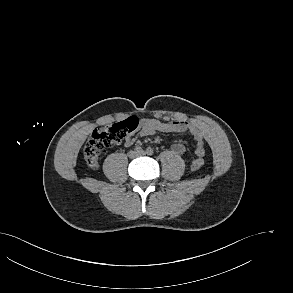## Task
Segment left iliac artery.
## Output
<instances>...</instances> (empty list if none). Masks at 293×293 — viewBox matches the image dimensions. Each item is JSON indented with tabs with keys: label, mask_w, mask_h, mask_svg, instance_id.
Wrapping results in <instances>:
<instances>
[{
	"label": "left iliac artery",
	"mask_w": 293,
	"mask_h": 293,
	"mask_svg": "<svg viewBox=\"0 0 293 293\" xmlns=\"http://www.w3.org/2000/svg\"><path fill=\"white\" fill-rule=\"evenodd\" d=\"M146 153H147L148 155H152V154H153V149L150 148V147H148V148L146 149Z\"/></svg>",
	"instance_id": "1"
}]
</instances>
